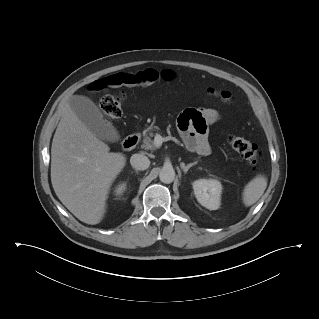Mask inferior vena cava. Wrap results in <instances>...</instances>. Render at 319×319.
<instances>
[{
    "label": "inferior vena cava",
    "instance_id": "obj_1",
    "mask_svg": "<svg viewBox=\"0 0 319 319\" xmlns=\"http://www.w3.org/2000/svg\"><path fill=\"white\" fill-rule=\"evenodd\" d=\"M130 163L136 170H146L150 165V160L143 154H133Z\"/></svg>",
    "mask_w": 319,
    "mask_h": 319
}]
</instances>
